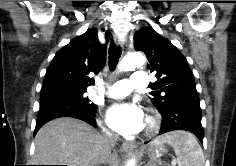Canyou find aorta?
<instances>
[{
	"mask_svg": "<svg viewBox=\"0 0 236 166\" xmlns=\"http://www.w3.org/2000/svg\"><path fill=\"white\" fill-rule=\"evenodd\" d=\"M145 58L140 53H132L123 58L121 61L119 69L121 71H131L135 68H140L145 65ZM125 166H135V160H129Z\"/></svg>",
	"mask_w": 236,
	"mask_h": 166,
	"instance_id": "762f6f07",
	"label": "aorta"
}]
</instances>
